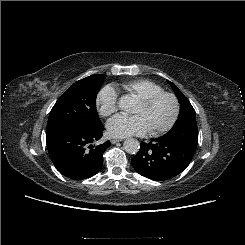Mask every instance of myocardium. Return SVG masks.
I'll use <instances>...</instances> for the list:
<instances>
[{
  "label": "myocardium",
  "instance_id": "f54148a6",
  "mask_svg": "<svg viewBox=\"0 0 245 245\" xmlns=\"http://www.w3.org/2000/svg\"><path fill=\"white\" fill-rule=\"evenodd\" d=\"M162 97H170L173 99L174 105H175L174 113H173L170 121L163 128L158 129V130H154V131H149V134L151 136H159V135L165 134L175 126L176 122L179 119L180 111H181L179 98L177 97L176 94H174L172 92L162 91V92L155 93V94H152L149 96L141 97L137 101L138 103H140L143 106H148V105L152 104L153 102H155L156 100H158L159 98H162Z\"/></svg>",
  "mask_w": 245,
  "mask_h": 245
}]
</instances>
